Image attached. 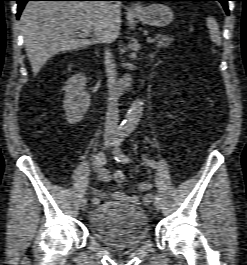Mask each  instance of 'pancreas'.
<instances>
[{"label":"pancreas","mask_w":247,"mask_h":265,"mask_svg":"<svg viewBox=\"0 0 247 265\" xmlns=\"http://www.w3.org/2000/svg\"><path fill=\"white\" fill-rule=\"evenodd\" d=\"M156 40H157V44H156L157 48H167L171 45L174 39L172 37H168L164 35H157Z\"/></svg>","instance_id":"obj_1"}]
</instances>
